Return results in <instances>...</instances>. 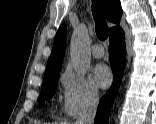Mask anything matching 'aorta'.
Masks as SVG:
<instances>
[{
  "label": "aorta",
  "mask_w": 156,
  "mask_h": 124,
  "mask_svg": "<svg viewBox=\"0 0 156 124\" xmlns=\"http://www.w3.org/2000/svg\"><path fill=\"white\" fill-rule=\"evenodd\" d=\"M70 56L74 70L84 75L89 70L91 63L89 33L85 24H80L72 34Z\"/></svg>",
  "instance_id": "1"
}]
</instances>
